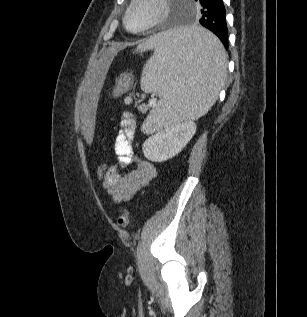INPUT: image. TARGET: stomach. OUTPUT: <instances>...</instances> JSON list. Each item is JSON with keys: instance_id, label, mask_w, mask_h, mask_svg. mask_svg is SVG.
I'll use <instances>...</instances> for the list:
<instances>
[{"instance_id": "0dacf381", "label": "stomach", "mask_w": 307, "mask_h": 317, "mask_svg": "<svg viewBox=\"0 0 307 317\" xmlns=\"http://www.w3.org/2000/svg\"><path fill=\"white\" fill-rule=\"evenodd\" d=\"M131 81L129 75H121L120 78L117 79L113 94L120 95L124 91L128 90L130 87Z\"/></svg>"}]
</instances>
